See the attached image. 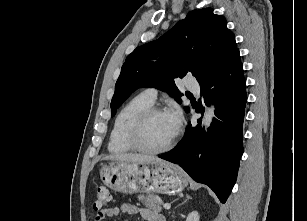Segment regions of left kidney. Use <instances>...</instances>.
<instances>
[{"mask_svg":"<svg viewBox=\"0 0 307 221\" xmlns=\"http://www.w3.org/2000/svg\"><path fill=\"white\" fill-rule=\"evenodd\" d=\"M199 214L197 211H193L190 214H188L186 221H199Z\"/></svg>","mask_w":307,"mask_h":221,"instance_id":"obj_1","label":"left kidney"}]
</instances>
